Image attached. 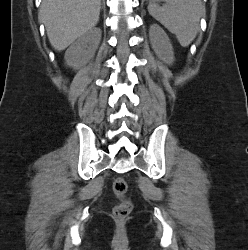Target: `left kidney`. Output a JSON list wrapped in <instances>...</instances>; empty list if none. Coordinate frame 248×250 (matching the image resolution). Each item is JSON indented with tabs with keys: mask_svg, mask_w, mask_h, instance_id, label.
I'll return each instance as SVG.
<instances>
[{
	"mask_svg": "<svg viewBox=\"0 0 248 250\" xmlns=\"http://www.w3.org/2000/svg\"><path fill=\"white\" fill-rule=\"evenodd\" d=\"M149 38L152 49L165 64L171 65L175 58L173 47L165 31L157 24L150 26Z\"/></svg>",
	"mask_w": 248,
	"mask_h": 250,
	"instance_id": "left-kidney-1",
	"label": "left kidney"
}]
</instances>
